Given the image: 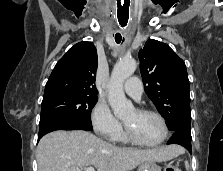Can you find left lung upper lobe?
Returning a JSON list of instances; mask_svg holds the SVG:
<instances>
[{
    "label": "left lung upper lobe",
    "instance_id": "obj_1",
    "mask_svg": "<svg viewBox=\"0 0 223 171\" xmlns=\"http://www.w3.org/2000/svg\"><path fill=\"white\" fill-rule=\"evenodd\" d=\"M144 90L169 130L191 135L189 80L184 61L165 43L150 39L139 54Z\"/></svg>",
    "mask_w": 223,
    "mask_h": 171
}]
</instances>
